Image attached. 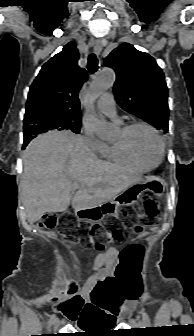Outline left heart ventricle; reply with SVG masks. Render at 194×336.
Segmentation results:
<instances>
[{
    "label": "left heart ventricle",
    "instance_id": "obj_1",
    "mask_svg": "<svg viewBox=\"0 0 194 336\" xmlns=\"http://www.w3.org/2000/svg\"><path fill=\"white\" fill-rule=\"evenodd\" d=\"M121 137V133L119 139ZM118 139V140H119ZM132 147L138 157L147 164H155L160 158V146L155 135L148 129L137 127L130 134Z\"/></svg>",
    "mask_w": 194,
    "mask_h": 336
}]
</instances>
